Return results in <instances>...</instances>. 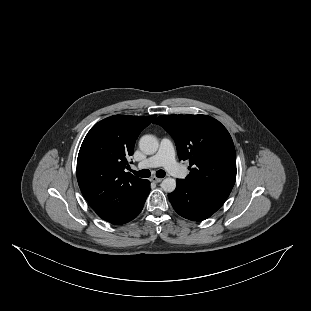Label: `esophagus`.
<instances>
[{"label": "esophagus", "instance_id": "1", "mask_svg": "<svg viewBox=\"0 0 311 311\" xmlns=\"http://www.w3.org/2000/svg\"><path fill=\"white\" fill-rule=\"evenodd\" d=\"M163 179L162 178H158V177H152L150 179V181L154 182V183H160Z\"/></svg>", "mask_w": 311, "mask_h": 311}]
</instances>
